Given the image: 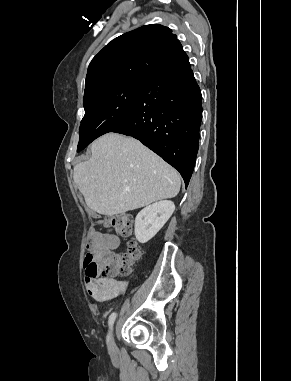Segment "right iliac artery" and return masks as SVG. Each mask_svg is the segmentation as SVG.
<instances>
[{"instance_id":"1","label":"right iliac artery","mask_w":291,"mask_h":381,"mask_svg":"<svg viewBox=\"0 0 291 381\" xmlns=\"http://www.w3.org/2000/svg\"><path fill=\"white\" fill-rule=\"evenodd\" d=\"M115 319H116V313L113 312V313L109 316V327H110V328H112Z\"/></svg>"}]
</instances>
